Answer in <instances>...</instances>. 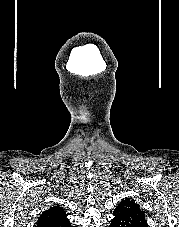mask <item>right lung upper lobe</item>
<instances>
[{
  "mask_svg": "<svg viewBox=\"0 0 179 227\" xmlns=\"http://www.w3.org/2000/svg\"><path fill=\"white\" fill-rule=\"evenodd\" d=\"M66 212L59 206L51 207L42 212L36 227H72Z\"/></svg>",
  "mask_w": 179,
  "mask_h": 227,
  "instance_id": "obj_1",
  "label": "right lung upper lobe"
}]
</instances>
